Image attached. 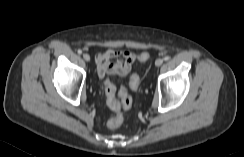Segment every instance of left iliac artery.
I'll list each match as a JSON object with an SVG mask.
<instances>
[{
	"label": "left iliac artery",
	"instance_id": "left-iliac-artery-1",
	"mask_svg": "<svg viewBox=\"0 0 244 157\" xmlns=\"http://www.w3.org/2000/svg\"><path fill=\"white\" fill-rule=\"evenodd\" d=\"M164 60H165V61H168V60H169V56H165V57H164Z\"/></svg>",
	"mask_w": 244,
	"mask_h": 157
}]
</instances>
